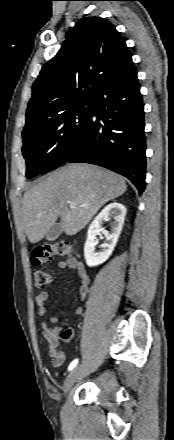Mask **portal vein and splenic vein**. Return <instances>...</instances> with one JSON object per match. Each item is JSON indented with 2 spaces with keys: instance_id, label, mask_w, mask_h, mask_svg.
Masks as SVG:
<instances>
[{
  "instance_id": "1",
  "label": "portal vein and splenic vein",
  "mask_w": 174,
  "mask_h": 440,
  "mask_svg": "<svg viewBox=\"0 0 174 440\" xmlns=\"http://www.w3.org/2000/svg\"><path fill=\"white\" fill-rule=\"evenodd\" d=\"M69 206L71 207V208H74L75 206H76V203L75 202H70L69 203ZM85 206H87L86 204H83L82 205V207H85Z\"/></svg>"
}]
</instances>
